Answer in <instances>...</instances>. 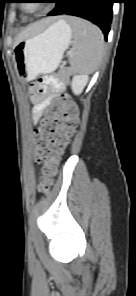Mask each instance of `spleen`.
Instances as JSON below:
<instances>
[{
    "label": "spleen",
    "mask_w": 136,
    "mask_h": 296,
    "mask_svg": "<svg viewBox=\"0 0 136 296\" xmlns=\"http://www.w3.org/2000/svg\"><path fill=\"white\" fill-rule=\"evenodd\" d=\"M68 23L74 38L70 54L71 69L80 74L93 73L103 56V34L97 26L80 18L69 17Z\"/></svg>",
    "instance_id": "1"
}]
</instances>
